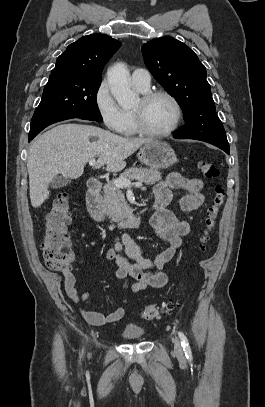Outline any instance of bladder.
<instances>
[{"mask_svg":"<svg viewBox=\"0 0 265 407\" xmlns=\"http://www.w3.org/2000/svg\"><path fill=\"white\" fill-rule=\"evenodd\" d=\"M144 334V329L135 324H127L122 330V336L127 340H138L142 338Z\"/></svg>","mask_w":265,"mask_h":407,"instance_id":"31cf9c89","label":"bladder"}]
</instances>
